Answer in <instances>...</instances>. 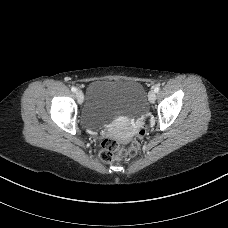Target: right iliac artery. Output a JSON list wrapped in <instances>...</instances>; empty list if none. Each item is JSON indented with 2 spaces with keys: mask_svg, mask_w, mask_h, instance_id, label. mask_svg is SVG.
Here are the masks:
<instances>
[{
  "mask_svg": "<svg viewBox=\"0 0 228 228\" xmlns=\"http://www.w3.org/2000/svg\"><path fill=\"white\" fill-rule=\"evenodd\" d=\"M71 90H72L73 92H76V91H77L76 87H72Z\"/></svg>",
  "mask_w": 228,
  "mask_h": 228,
  "instance_id": "1",
  "label": "right iliac artery"
}]
</instances>
